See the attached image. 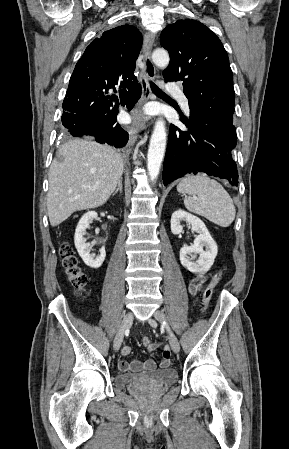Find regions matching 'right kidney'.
Returning <instances> with one entry per match:
<instances>
[{
  "mask_svg": "<svg viewBox=\"0 0 289 449\" xmlns=\"http://www.w3.org/2000/svg\"><path fill=\"white\" fill-rule=\"evenodd\" d=\"M94 219H97V213L95 211H89L81 217L75 230L74 242L75 247L84 263L91 268L97 269L101 267L105 260V247L100 249L98 256L91 254L90 244L86 242V238L84 237L86 234V229L89 228V224L92 223Z\"/></svg>",
  "mask_w": 289,
  "mask_h": 449,
  "instance_id": "1",
  "label": "right kidney"
}]
</instances>
